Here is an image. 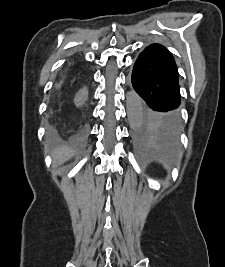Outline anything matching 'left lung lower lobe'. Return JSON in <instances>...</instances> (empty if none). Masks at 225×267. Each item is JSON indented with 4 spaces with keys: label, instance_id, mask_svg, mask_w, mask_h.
Here are the masks:
<instances>
[{
    "label": "left lung lower lobe",
    "instance_id": "1",
    "mask_svg": "<svg viewBox=\"0 0 225 267\" xmlns=\"http://www.w3.org/2000/svg\"><path fill=\"white\" fill-rule=\"evenodd\" d=\"M131 82L154 119L180 130V89L178 71L171 53L160 44H151L137 58Z\"/></svg>",
    "mask_w": 225,
    "mask_h": 267
}]
</instances>
